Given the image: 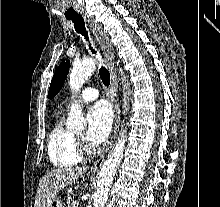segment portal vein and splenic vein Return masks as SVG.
Returning a JSON list of instances; mask_svg holds the SVG:
<instances>
[{
	"label": "portal vein and splenic vein",
	"instance_id": "portal-vein-and-splenic-vein-1",
	"mask_svg": "<svg viewBox=\"0 0 220 207\" xmlns=\"http://www.w3.org/2000/svg\"><path fill=\"white\" fill-rule=\"evenodd\" d=\"M78 205H79V202L77 200H74L73 201V207H78Z\"/></svg>",
	"mask_w": 220,
	"mask_h": 207
}]
</instances>
